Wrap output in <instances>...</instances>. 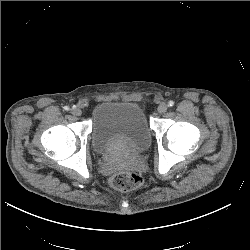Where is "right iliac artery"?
Returning <instances> with one entry per match:
<instances>
[{"instance_id":"right-iliac-artery-1","label":"right iliac artery","mask_w":250,"mask_h":250,"mask_svg":"<svg viewBox=\"0 0 250 250\" xmlns=\"http://www.w3.org/2000/svg\"><path fill=\"white\" fill-rule=\"evenodd\" d=\"M69 109H70V108H69L68 106H65V107H64V110H66V111H69Z\"/></svg>"}]
</instances>
